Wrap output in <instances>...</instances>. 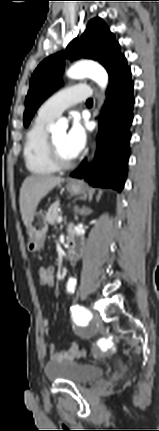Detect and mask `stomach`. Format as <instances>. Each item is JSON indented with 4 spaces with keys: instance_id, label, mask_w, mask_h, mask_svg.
<instances>
[{
    "instance_id": "stomach-1",
    "label": "stomach",
    "mask_w": 159,
    "mask_h": 431,
    "mask_svg": "<svg viewBox=\"0 0 159 431\" xmlns=\"http://www.w3.org/2000/svg\"><path fill=\"white\" fill-rule=\"evenodd\" d=\"M66 189L70 194L77 195L82 191V186L78 181L68 182ZM47 230L48 224L46 217L41 211L35 212L27 227V234L29 236L27 249L30 252H37L43 248Z\"/></svg>"
}]
</instances>
